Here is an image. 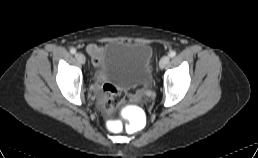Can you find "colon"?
<instances>
[{"label": "colon", "instance_id": "5ec220e1", "mask_svg": "<svg viewBox=\"0 0 258 158\" xmlns=\"http://www.w3.org/2000/svg\"><path fill=\"white\" fill-rule=\"evenodd\" d=\"M119 102H120V95L115 94L110 100H108L105 103L104 108L106 111H112L114 109V106Z\"/></svg>", "mask_w": 258, "mask_h": 158}]
</instances>
